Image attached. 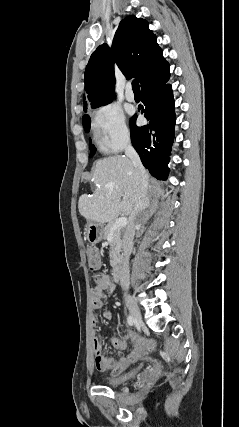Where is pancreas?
Segmentation results:
<instances>
[{"label": "pancreas", "instance_id": "cf45deb5", "mask_svg": "<svg viewBox=\"0 0 239 427\" xmlns=\"http://www.w3.org/2000/svg\"><path fill=\"white\" fill-rule=\"evenodd\" d=\"M115 222H109L105 227V238H111L110 241V264L114 266L120 256L121 252V236L123 233L122 228H117L113 230V225Z\"/></svg>", "mask_w": 239, "mask_h": 427}]
</instances>
